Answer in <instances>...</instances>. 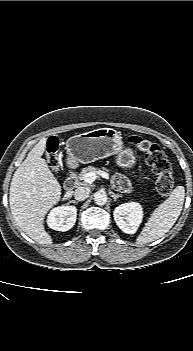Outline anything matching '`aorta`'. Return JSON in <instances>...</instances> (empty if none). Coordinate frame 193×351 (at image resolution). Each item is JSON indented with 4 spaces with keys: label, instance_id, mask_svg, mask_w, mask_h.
Returning a JSON list of instances; mask_svg holds the SVG:
<instances>
[{
    "label": "aorta",
    "instance_id": "762f6f07",
    "mask_svg": "<svg viewBox=\"0 0 193 351\" xmlns=\"http://www.w3.org/2000/svg\"><path fill=\"white\" fill-rule=\"evenodd\" d=\"M108 197L105 192L98 191L94 194V202L99 205L103 206L107 203Z\"/></svg>",
    "mask_w": 193,
    "mask_h": 351
}]
</instances>
